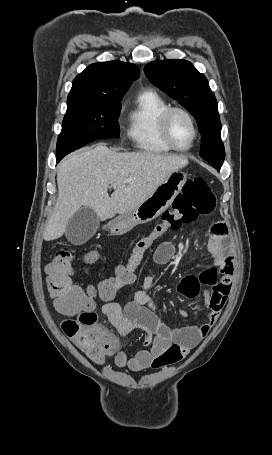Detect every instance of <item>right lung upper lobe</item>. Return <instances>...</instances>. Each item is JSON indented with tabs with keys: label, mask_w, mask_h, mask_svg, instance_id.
I'll list each match as a JSON object with an SVG mask.
<instances>
[{
	"label": "right lung upper lobe",
	"mask_w": 272,
	"mask_h": 455,
	"mask_svg": "<svg viewBox=\"0 0 272 455\" xmlns=\"http://www.w3.org/2000/svg\"><path fill=\"white\" fill-rule=\"evenodd\" d=\"M138 75L139 68L131 63L116 60L91 64L74 79L67 105L120 103Z\"/></svg>",
	"instance_id": "right-lung-upper-lobe-1"
}]
</instances>
